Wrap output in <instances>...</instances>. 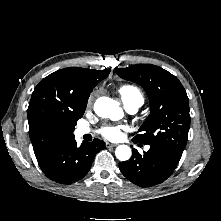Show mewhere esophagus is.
<instances>
[{"mask_svg":"<svg viewBox=\"0 0 221 221\" xmlns=\"http://www.w3.org/2000/svg\"><path fill=\"white\" fill-rule=\"evenodd\" d=\"M105 145H106L107 148H113V147L116 146V144H113V143H110V142H106Z\"/></svg>","mask_w":221,"mask_h":221,"instance_id":"1","label":"esophagus"}]
</instances>
